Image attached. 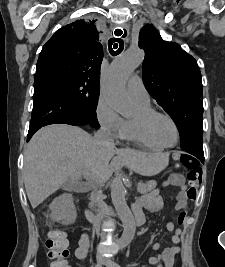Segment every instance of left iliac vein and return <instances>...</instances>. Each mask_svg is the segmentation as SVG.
Masks as SVG:
<instances>
[{"mask_svg": "<svg viewBox=\"0 0 225 267\" xmlns=\"http://www.w3.org/2000/svg\"><path fill=\"white\" fill-rule=\"evenodd\" d=\"M102 263L106 266V267H115V263L109 259V258H103L102 259Z\"/></svg>", "mask_w": 225, "mask_h": 267, "instance_id": "1", "label": "left iliac vein"}]
</instances>
